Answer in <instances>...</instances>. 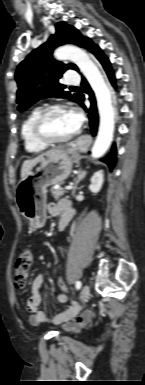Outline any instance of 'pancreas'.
Instances as JSON below:
<instances>
[{
	"label": "pancreas",
	"mask_w": 145,
	"mask_h": 385,
	"mask_svg": "<svg viewBox=\"0 0 145 385\" xmlns=\"http://www.w3.org/2000/svg\"><path fill=\"white\" fill-rule=\"evenodd\" d=\"M65 193H67V191H66L64 188H61V187L51 190V194H52V196H53L55 199H59V198L62 197Z\"/></svg>",
	"instance_id": "pancreas-1"
}]
</instances>
